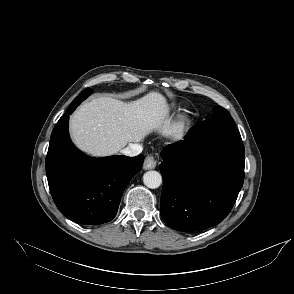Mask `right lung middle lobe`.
Returning <instances> with one entry per match:
<instances>
[{
  "label": "right lung middle lobe",
  "instance_id": "1",
  "mask_svg": "<svg viewBox=\"0 0 294 294\" xmlns=\"http://www.w3.org/2000/svg\"><path fill=\"white\" fill-rule=\"evenodd\" d=\"M85 98H82V93L76 97L73 102L70 104V106L68 107L67 111H69L72 107L76 108L80 103L81 101H83ZM66 111V112H67Z\"/></svg>",
  "mask_w": 294,
  "mask_h": 294
}]
</instances>
